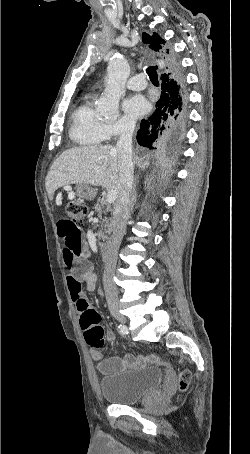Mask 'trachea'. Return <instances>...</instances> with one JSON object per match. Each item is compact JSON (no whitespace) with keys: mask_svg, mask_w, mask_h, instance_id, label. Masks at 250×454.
Returning <instances> with one entry per match:
<instances>
[{"mask_svg":"<svg viewBox=\"0 0 250 454\" xmlns=\"http://www.w3.org/2000/svg\"><path fill=\"white\" fill-rule=\"evenodd\" d=\"M146 72L151 80V82L157 85L158 82V74H157V66H150L146 69Z\"/></svg>","mask_w":250,"mask_h":454,"instance_id":"obj_1","label":"trachea"}]
</instances>
